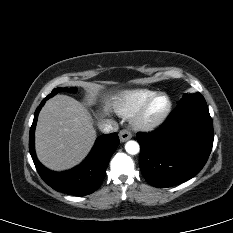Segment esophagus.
Listing matches in <instances>:
<instances>
[{
    "mask_svg": "<svg viewBox=\"0 0 233 233\" xmlns=\"http://www.w3.org/2000/svg\"><path fill=\"white\" fill-rule=\"evenodd\" d=\"M119 138L121 142H125L132 138V134L130 131L123 129L119 132Z\"/></svg>",
    "mask_w": 233,
    "mask_h": 233,
    "instance_id": "34e87169",
    "label": "esophagus"
}]
</instances>
